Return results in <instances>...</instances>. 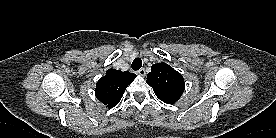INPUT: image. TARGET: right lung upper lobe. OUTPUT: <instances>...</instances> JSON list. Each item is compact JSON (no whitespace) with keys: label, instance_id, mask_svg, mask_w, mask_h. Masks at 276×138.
Listing matches in <instances>:
<instances>
[{"label":"right lung upper lobe","instance_id":"cb5924a9","mask_svg":"<svg viewBox=\"0 0 276 138\" xmlns=\"http://www.w3.org/2000/svg\"><path fill=\"white\" fill-rule=\"evenodd\" d=\"M135 77L136 75L129 71L108 69L106 75L101 77L96 84L95 95L97 99L108 108L115 107Z\"/></svg>","mask_w":276,"mask_h":138}]
</instances>
